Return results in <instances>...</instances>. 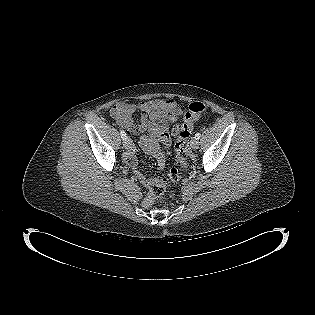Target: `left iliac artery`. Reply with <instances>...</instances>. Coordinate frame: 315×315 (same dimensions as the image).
I'll return each instance as SVG.
<instances>
[{"instance_id": "obj_1", "label": "left iliac artery", "mask_w": 315, "mask_h": 315, "mask_svg": "<svg viewBox=\"0 0 315 315\" xmlns=\"http://www.w3.org/2000/svg\"><path fill=\"white\" fill-rule=\"evenodd\" d=\"M200 137H201V134H200V133H196V134H195V138H196V139H200Z\"/></svg>"}]
</instances>
